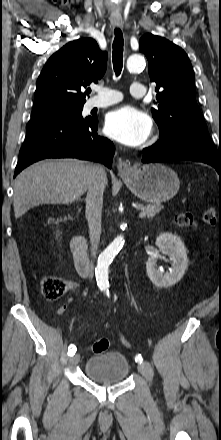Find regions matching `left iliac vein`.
<instances>
[{
  "instance_id": "4c4485c4",
  "label": "left iliac vein",
  "mask_w": 221,
  "mask_h": 440,
  "mask_svg": "<svg viewBox=\"0 0 221 440\" xmlns=\"http://www.w3.org/2000/svg\"><path fill=\"white\" fill-rule=\"evenodd\" d=\"M138 370L139 372L149 381L151 382L153 379V371L150 368V366L146 363H139L138 364Z\"/></svg>"
}]
</instances>
